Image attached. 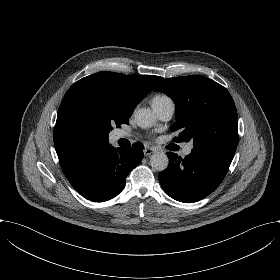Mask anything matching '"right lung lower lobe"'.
Masks as SVG:
<instances>
[{"label": "right lung lower lobe", "mask_w": 280, "mask_h": 280, "mask_svg": "<svg viewBox=\"0 0 280 280\" xmlns=\"http://www.w3.org/2000/svg\"><path fill=\"white\" fill-rule=\"evenodd\" d=\"M142 149V144L132 149L108 144L84 153L62 170L80 195L93 202L107 201L122 191L127 175L143 159Z\"/></svg>", "instance_id": "right-lung-lower-lobe-1"}]
</instances>
